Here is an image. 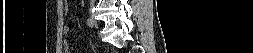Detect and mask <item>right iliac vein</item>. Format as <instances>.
Masks as SVG:
<instances>
[{
	"mask_svg": "<svg viewBox=\"0 0 253 53\" xmlns=\"http://www.w3.org/2000/svg\"><path fill=\"white\" fill-rule=\"evenodd\" d=\"M91 19L93 20L94 25L97 27V26H98V24H97L96 19H94L93 15L91 16Z\"/></svg>",
	"mask_w": 253,
	"mask_h": 53,
	"instance_id": "right-iliac-vein-1",
	"label": "right iliac vein"
}]
</instances>
